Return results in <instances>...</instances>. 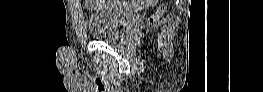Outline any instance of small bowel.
Segmentation results:
<instances>
[{"mask_svg":"<svg viewBox=\"0 0 263 92\" xmlns=\"http://www.w3.org/2000/svg\"><path fill=\"white\" fill-rule=\"evenodd\" d=\"M100 1H92V0H90V1H86V5H87V7L88 8H93L95 5H97L98 3H99ZM151 4H153V3H151ZM118 8V7H117ZM121 8V7H120Z\"/></svg>","mask_w":263,"mask_h":92,"instance_id":"small-bowel-1","label":"small bowel"}]
</instances>
